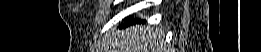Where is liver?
Instances as JSON below:
<instances>
[{
	"label": "liver",
	"mask_w": 261,
	"mask_h": 52,
	"mask_svg": "<svg viewBox=\"0 0 261 52\" xmlns=\"http://www.w3.org/2000/svg\"><path fill=\"white\" fill-rule=\"evenodd\" d=\"M109 52H165L164 33L160 28L131 27L118 32L109 42ZM113 48V49H112Z\"/></svg>",
	"instance_id": "6515ba94"
}]
</instances>
